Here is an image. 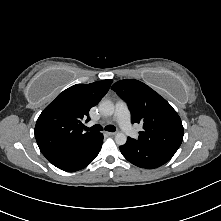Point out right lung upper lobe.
Instances as JSON below:
<instances>
[{
	"instance_id": "cb5924a9",
	"label": "right lung upper lobe",
	"mask_w": 221,
	"mask_h": 221,
	"mask_svg": "<svg viewBox=\"0 0 221 221\" xmlns=\"http://www.w3.org/2000/svg\"><path fill=\"white\" fill-rule=\"evenodd\" d=\"M112 80L76 84L60 93L40 114L35 138L42 154L53 165L63 163L69 154L94 138L97 133L83 132L82 120L108 92Z\"/></svg>"
}]
</instances>
